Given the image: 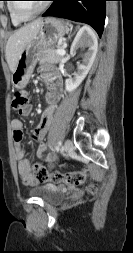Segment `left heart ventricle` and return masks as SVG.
<instances>
[{
  "instance_id": "left-heart-ventricle-1",
  "label": "left heart ventricle",
  "mask_w": 133,
  "mask_h": 253,
  "mask_svg": "<svg viewBox=\"0 0 133 253\" xmlns=\"http://www.w3.org/2000/svg\"><path fill=\"white\" fill-rule=\"evenodd\" d=\"M43 1H25V2H17L18 8L24 14H32L37 11L42 5Z\"/></svg>"
}]
</instances>
